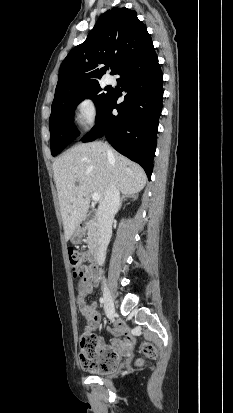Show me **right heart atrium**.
I'll use <instances>...</instances> for the list:
<instances>
[{"label": "right heart atrium", "mask_w": 233, "mask_h": 413, "mask_svg": "<svg viewBox=\"0 0 233 413\" xmlns=\"http://www.w3.org/2000/svg\"><path fill=\"white\" fill-rule=\"evenodd\" d=\"M74 114L77 123L84 130L92 128L99 118L97 101L92 96H84L80 98L75 105Z\"/></svg>", "instance_id": "d8ad5b80"}]
</instances>
